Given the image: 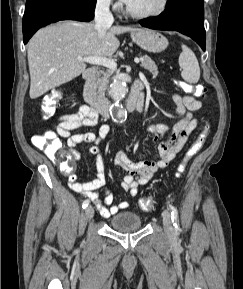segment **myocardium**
I'll use <instances>...</instances> for the list:
<instances>
[{
  "instance_id": "myocardium-1",
  "label": "myocardium",
  "mask_w": 243,
  "mask_h": 289,
  "mask_svg": "<svg viewBox=\"0 0 243 289\" xmlns=\"http://www.w3.org/2000/svg\"><path fill=\"white\" fill-rule=\"evenodd\" d=\"M168 3L169 0H160L158 7L148 12H135L131 10L129 6L126 4L125 12L127 15L137 19L152 18L162 14L167 9Z\"/></svg>"
}]
</instances>
